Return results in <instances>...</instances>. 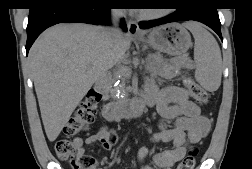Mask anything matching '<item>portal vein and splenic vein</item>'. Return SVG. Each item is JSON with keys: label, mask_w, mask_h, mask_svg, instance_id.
Instances as JSON below:
<instances>
[{"label": "portal vein and splenic vein", "mask_w": 252, "mask_h": 169, "mask_svg": "<svg viewBox=\"0 0 252 169\" xmlns=\"http://www.w3.org/2000/svg\"><path fill=\"white\" fill-rule=\"evenodd\" d=\"M183 61L187 62L188 66H190L189 62H191V59L189 57L184 58ZM122 71H124L126 73V75L131 74V69L127 66H123Z\"/></svg>", "instance_id": "18ae733b"}]
</instances>
